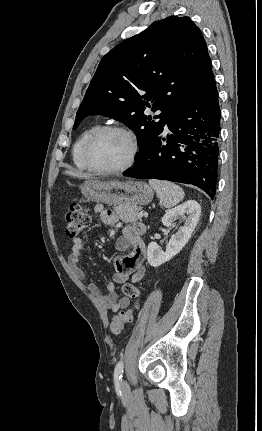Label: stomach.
<instances>
[{"instance_id":"0dacf381","label":"stomach","mask_w":262,"mask_h":431,"mask_svg":"<svg viewBox=\"0 0 262 431\" xmlns=\"http://www.w3.org/2000/svg\"><path fill=\"white\" fill-rule=\"evenodd\" d=\"M85 198L109 205L141 206L153 199V189L143 181H100L91 179L81 186Z\"/></svg>"}]
</instances>
